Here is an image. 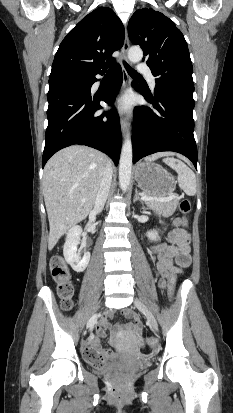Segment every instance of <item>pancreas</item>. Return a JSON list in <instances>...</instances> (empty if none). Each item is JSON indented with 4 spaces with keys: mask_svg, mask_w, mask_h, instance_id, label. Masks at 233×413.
<instances>
[{
    "mask_svg": "<svg viewBox=\"0 0 233 413\" xmlns=\"http://www.w3.org/2000/svg\"><path fill=\"white\" fill-rule=\"evenodd\" d=\"M178 203V198H175L169 202L146 201V204L150 209H153L159 214H162L166 217L172 215L175 212Z\"/></svg>",
    "mask_w": 233,
    "mask_h": 413,
    "instance_id": "cf45deb5",
    "label": "pancreas"
}]
</instances>
